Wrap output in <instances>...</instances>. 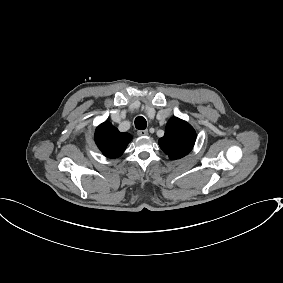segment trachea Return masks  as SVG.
<instances>
[{
    "instance_id": "3493384b",
    "label": "trachea",
    "mask_w": 283,
    "mask_h": 283,
    "mask_svg": "<svg viewBox=\"0 0 283 283\" xmlns=\"http://www.w3.org/2000/svg\"><path fill=\"white\" fill-rule=\"evenodd\" d=\"M135 127L139 130H144L147 127V122L144 117L138 116L135 119Z\"/></svg>"
}]
</instances>
